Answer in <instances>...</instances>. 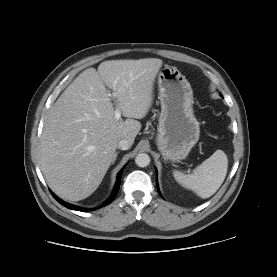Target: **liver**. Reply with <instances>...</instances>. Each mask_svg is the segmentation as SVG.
Listing matches in <instances>:
<instances>
[{
    "instance_id": "obj_1",
    "label": "liver",
    "mask_w": 277,
    "mask_h": 277,
    "mask_svg": "<svg viewBox=\"0 0 277 277\" xmlns=\"http://www.w3.org/2000/svg\"><path fill=\"white\" fill-rule=\"evenodd\" d=\"M157 58L109 60L84 70L51 107L41 141V170L61 198L79 201L102 182L121 139L131 145L153 101ZM116 109L124 117L116 120Z\"/></svg>"
}]
</instances>
